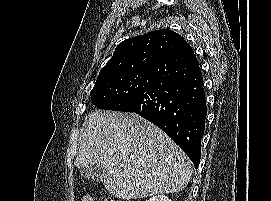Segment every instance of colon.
Segmentation results:
<instances>
[{
    "mask_svg": "<svg viewBox=\"0 0 271 201\" xmlns=\"http://www.w3.org/2000/svg\"><path fill=\"white\" fill-rule=\"evenodd\" d=\"M82 201H92V198L88 195H84L82 197ZM105 201H116L114 198L108 197L105 199Z\"/></svg>",
    "mask_w": 271,
    "mask_h": 201,
    "instance_id": "colon-1",
    "label": "colon"
}]
</instances>
